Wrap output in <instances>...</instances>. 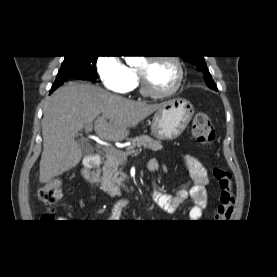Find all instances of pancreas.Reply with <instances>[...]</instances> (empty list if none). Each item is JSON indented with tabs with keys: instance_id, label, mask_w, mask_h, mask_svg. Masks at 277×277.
I'll list each match as a JSON object with an SVG mask.
<instances>
[{
	"instance_id": "obj_1",
	"label": "pancreas",
	"mask_w": 277,
	"mask_h": 277,
	"mask_svg": "<svg viewBox=\"0 0 277 277\" xmlns=\"http://www.w3.org/2000/svg\"><path fill=\"white\" fill-rule=\"evenodd\" d=\"M131 146L126 152L117 151L107 156L102 167V176H99L101 170L94 175L96 181L100 182L101 189L110 195H120V188L124 187L123 182L127 179V175L122 171L121 166L127 160V156L134 152L135 147H144L152 151H158L163 148L161 141L154 140L148 135H141L131 140Z\"/></svg>"
}]
</instances>
